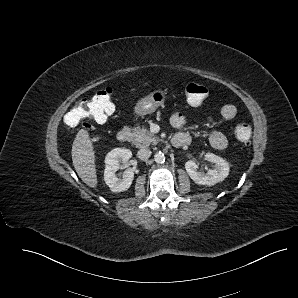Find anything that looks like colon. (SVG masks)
<instances>
[{
	"label": "colon",
	"mask_w": 298,
	"mask_h": 298,
	"mask_svg": "<svg viewBox=\"0 0 298 298\" xmlns=\"http://www.w3.org/2000/svg\"><path fill=\"white\" fill-rule=\"evenodd\" d=\"M187 101L192 105L203 103L208 97L206 87L190 83L185 89ZM114 112L112 102V89L105 88L91 97L80 98L65 115V123L68 127H75L84 120H93L102 123ZM234 135L241 143H249L252 136V128L247 123H238L234 128Z\"/></svg>",
	"instance_id": "colon-1"
}]
</instances>
